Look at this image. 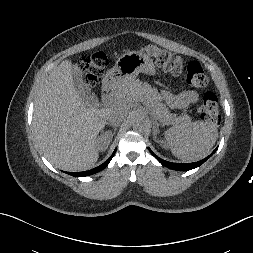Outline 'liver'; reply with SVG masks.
<instances>
[{"instance_id":"1","label":"liver","mask_w":253,"mask_h":253,"mask_svg":"<svg viewBox=\"0 0 253 253\" xmlns=\"http://www.w3.org/2000/svg\"><path fill=\"white\" fill-rule=\"evenodd\" d=\"M126 96L109 108L84 103L74 87L72 63L61 62L42 85L33 110V130L50 163L67 171H83L98 160L96 140L112 108L143 101L146 89L137 82L125 85Z\"/></svg>"}]
</instances>
